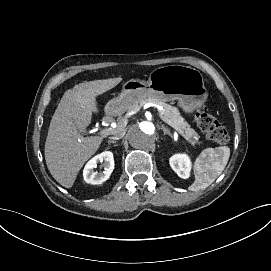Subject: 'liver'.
I'll return each mask as SVG.
<instances>
[{
	"label": "liver",
	"instance_id": "6515ba94",
	"mask_svg": "<svg viewBox=\"0 0 271 271\" xmlns=\"http://www.w3.org/2000/svg\"><path fill=\"white\" fill-rule=\"evenodd\" d=\"M122 81L121 77L83 82L67 90L52 116L45 142V160L53 178L71 188L83 164L97 151L103 137H83L97 112L95 97Z\"/></svg>",
	"mask_w": 271,
	"mask_h": 271
}]
</instances>
